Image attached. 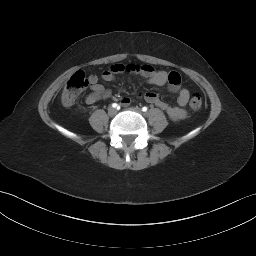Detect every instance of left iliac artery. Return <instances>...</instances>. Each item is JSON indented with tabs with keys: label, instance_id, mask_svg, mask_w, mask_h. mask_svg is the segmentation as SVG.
I'll return each instance as SVG.
<instances>
[{
	"label": "left iliac artery",
	"instance_id": "44dca946",
	"mask_svg": "<svg viewBox=\"0 0 256 256\" xmlns=\"http://www.w3.org/2000/svg\"><path fill=\"white\" fill-rule=\"evenodd\" d=\"M147 110H148V108L145 107V106L142 108V111H143V112H146Z\"/></svg>",
	"mask_w": 256,
	"mask_h": 256
}]
</instances>
